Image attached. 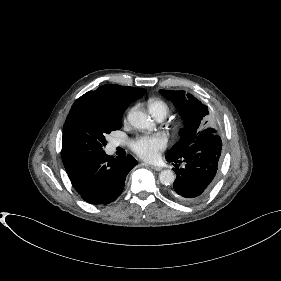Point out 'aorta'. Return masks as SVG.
I'll return each mask as SVG.
<instances>
[{
    "instance_id": "1",
    "label": "aorta",
    "mask_w": 281,
    "mask_h": 281,
    "mask_svg": "<svg viewBox=\"0 0 281 281\" xmlns=\"http://www.w3.org/2000/svg\"><path fill=\"white\" fill-rule=\"evenodd\" d=\"M128 121L137 129H148L152 126V120L142 111H133L129 113ZM159 180L163 185H171L175 181V175L171 170H163L159 173Z\"/></svg>"
}]
</instances>
